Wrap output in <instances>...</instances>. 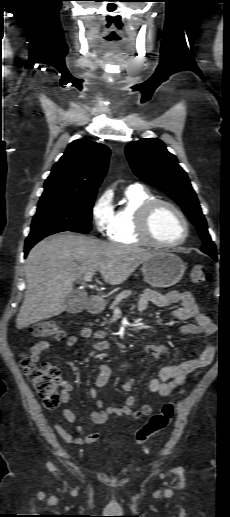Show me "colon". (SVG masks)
I'll list each match as a JSON object with an SVG mask.
<instances>
[{"instance_id":"colon-1","label":"colon","mask_w":230,"mask_h":517,"mask_svg":"<svg viewBox=\"0 0 230 517\" xmlns=\"http://www.w3.org/2000/svg\"><path fill=\"white\" fill-rule=\"evenodd\" d=\"M210 278V271L204 265H195L190 271V281L193 284H205ZM29 329L33 336L39 338H60L64 335L61 326L54 321L36 322ZM22 368L43 405L47 408H55L59 403L58 385L61 380L59 370L49 363L34 362L27 357L22 360ZM173 415L174 403L168 402L136 432V442L140 445L146 443L150 437L170 424Z\"/></svg>"}]
</instances>
